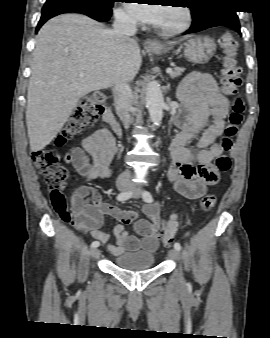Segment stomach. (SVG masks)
Returning a JSON list of instances; mask_svg holds the SVG:
<instances>
[{"mask_svg": "<svg viewBox=\"0 0 270 338\" xmlns=\"http://www.w3.org/2000/svg\"><path fill=\"white\" fill-rule=\"evenodd\" d=\"M171 47L160 45L157 48H147V51L156 55H164ZM216 50L214 41L209 37L195 36L185 43L184 55L195 64H205L214 55Z\"/></svg>", "mask_w": 270, "mask_h": 338, "instance_id": "stomach-1", "label": "stomach"}]
</instances>
